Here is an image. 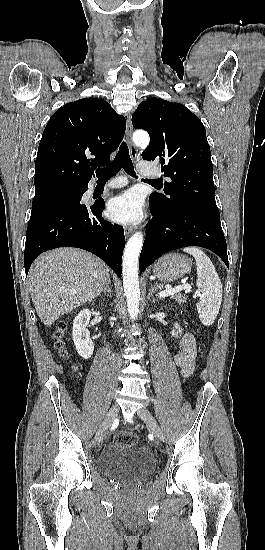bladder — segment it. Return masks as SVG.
<instances>
[{
	"instance_id": "31cf9c89",
	"label": "bladder",
	"mask_w": 265,
	"mask_h": 550,
	"mask_svg": "<svg viewBox=\"0 0 265 550\" xmlns=\"http://www.w3.org/2000/svg\"><path fill=\"white\" fill-rule=\"evenodd\" d=\"M98 467L109 476L141 480L152 474L155 459L145 447L114 444L103 449Z\"/></svg>"
}]
</instances>
